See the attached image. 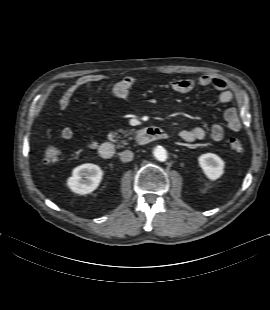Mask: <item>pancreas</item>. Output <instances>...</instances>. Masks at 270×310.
I'll return each instance as SVG.
<instances>
[{
	"instance_id": "pancreas-1",
	"label": "pancreas",
	"mask_w": 270,
	"mask_h": 310,
	"mask_svg": "<svg viewBox=\"0 0 270 310\" xmlns=\"http://www.w3.org/2000/svg\"><path fill=\"white\" fill-rule=\"evenodd\" d=\"M124 133H126V131H124ZM117 132H114V133H110L109 135H108V139L109 140H112L113 138H115V137H117Z\"/></svg>"
}]
</instances>
